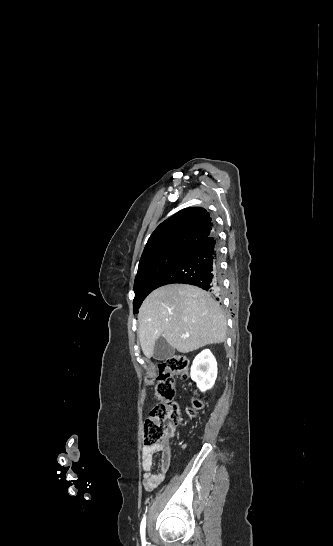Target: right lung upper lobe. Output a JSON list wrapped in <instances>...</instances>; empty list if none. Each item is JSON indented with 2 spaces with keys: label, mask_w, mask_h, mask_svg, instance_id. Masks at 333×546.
Wrapping results in <instances>:
<instances>
[{
  "label": "right lung upper lobe",
  "mask_w": 333,
  "mask_h": 546,
  "mask_svg": "<svg viewBox=\"0 0 333 546\" xmlns=\"http://www.w3.org/2000/svg\"><path fill=\"white\" fill-rule=\"evenodd\" d=\"M215 231L209 212L189 207L162 222L149 237L140 260L171 247H193Z\"/></svg>",
  "instance_id": "cb5924a9"
}]
</instances>
